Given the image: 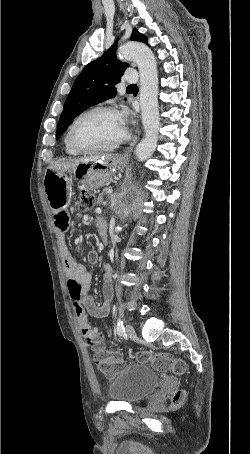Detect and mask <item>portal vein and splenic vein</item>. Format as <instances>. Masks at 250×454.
Returning a JSON list of instances; mask_svg holds the SVG:
<instances>
[{"instance_id":"portal-vein-and-splenic-vein-1","label":"portal vein and splenic vein","mask_w":250,"mask_h":454,"mask_svg":"<svg viewBox=\"0 0 250 454\" xmlns=\"http://www.w3.org/2000/svg\"><path fill=\"white\" fill-rule=\"evenodd\" d=\"M109 193H112V190H109Z\"/></svg>"}]
</instances>
